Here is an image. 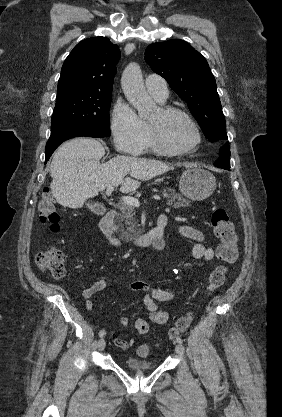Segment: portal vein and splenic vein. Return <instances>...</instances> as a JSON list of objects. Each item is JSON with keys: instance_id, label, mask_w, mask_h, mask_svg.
Masks as SVG:
<instances>
[{"instance_id": "1", "label": "portal vein and splenic vein", "mask_w": 282, "mask_h": 417, "mask_svg": "<svg viewBox=\"0 0 282 417\" xmlns=\"http://www.w3.org/2000/svg\"><path fill=\"white\" fill-rule=\"evenodd\" d=\"M114 190V186H109V188H106V194H112ZM150 199L152 200H160L162 199V196H156L152 195L150 196ZM122 200H124L125 204H133V206H136V211H143V206H140V202L138 198H134V196H122Z\"/></svg>"}]
</instances>
